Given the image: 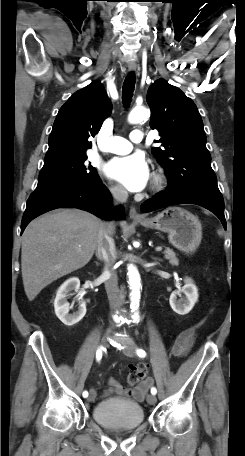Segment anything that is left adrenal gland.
I'll return each instance as SVG.
<instances>
[{"mask_svg":"<svg viewBox=\"0 0 245 456\" xmlns=\"http://www.w3.org/2000/svg\"><path fill=\"white\" fill-rule=\"evenodd\" d=\"M152 259H154V260H159V261L161 260V259H159V258H155V257H152Z\"/></svg>","mask_w":245,"mask_h":456,"instance_id":"1","label":"left adrenal gland"}]
</instances>
